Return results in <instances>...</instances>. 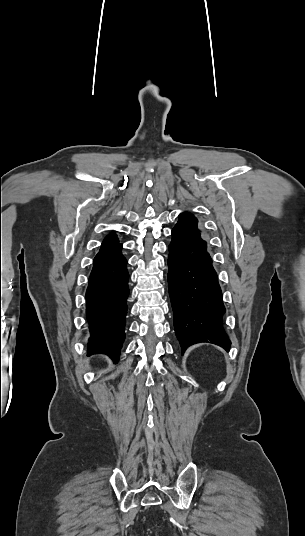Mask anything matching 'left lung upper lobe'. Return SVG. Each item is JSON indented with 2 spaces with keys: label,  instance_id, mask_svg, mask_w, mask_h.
<instances>
[{
  "label": "left lung upper lobe",
  "instance_id": "1",
  "mask_svg": "<svg viewBox=\"0 0 305 536\" xmlns=\"http://www.w3.org/2000/svg\"><path fill=\"white\" fill-rule=\"evenodd\" d=\"M197 224L198 220L193 215L189 213H182L179 215V221L175 225V228H180L200 236V231L197 228Z\"/></svg>",
  "mask_w": 305,
  "mask_h": 536
}]
</instances>
